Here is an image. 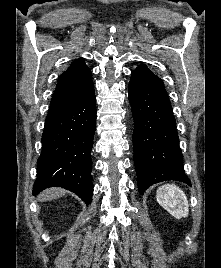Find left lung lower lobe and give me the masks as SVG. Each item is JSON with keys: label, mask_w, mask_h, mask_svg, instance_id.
Returning a JSON list of instances; mask_svg holds the SVG:
<instances>
[{"label": "left lung lower lobe", "mask_w": 221, "mask_h": 268, "mask_svg": "<svg viewBox=\"0 0 221 268\" xmlns=\"http://www.w3.org/2000/svg\"><path fill=\"white\" fill-rule=\"evenodd\" d=\"M129 101L134 118V164L140 194L151 185L185 175L172 106L164 86L131 77Z\"/></svg>", "instance_id": "left-lung-lower-lobe-1"}]
</instances>
